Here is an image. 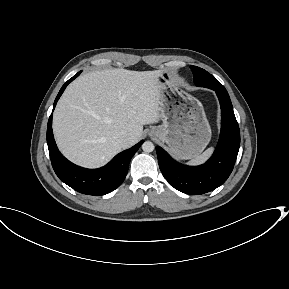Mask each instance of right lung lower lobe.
Wrapping results in <instances>:
<instances>
[{"label":"right lung lower lobe","instance_id":"obj_1","mask_svg":"<svg viewBox=\"0 0 289 289\" xmlns=\"http://www.w3.org/2000/svg\"><path fill=\"white\" fill-rule=\"evenodd\" d=\"M78 72L60 89L53 109L67 85L79 76ZM144 141L116 155L107 165L98 169H85L68 161L58 150L52 131V114L47 126V144L51 163L56 175L61 181L74 190L93 196H100L112 192L124 181L131 158Z\"/></svg>","mask_w":289,"mask_h":289}]
</instances>
